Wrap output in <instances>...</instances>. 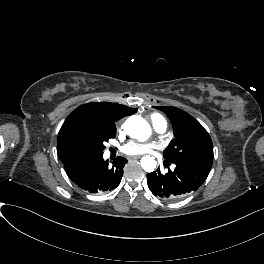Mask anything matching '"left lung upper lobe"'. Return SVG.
<instances>
[{
    "label": "left lung upper lobe",
    "mask_w": 264,
    "mask_h": 264,
    "mask_svg": "<svg viewBox=\"0 0 264 264\" xmlns=\"http://www.w3.org/2000/svg\"><path fill=\"white\" fill-rule=\"evenodd\" d=\"M160 108L171 118L173 138L165 151L164 167L151 173L185 193L190 192L204 182L210 170L211 139L187 113L173 107Z\"/></svg>",
    "instance_id": "left-lung-upper-lobe-1"
}]
</instances>
